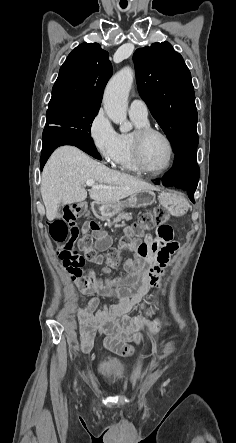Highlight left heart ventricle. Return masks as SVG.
I'll list each match as a JSON object with an SVG mask.
<instances>
[{"label":"left heart ventricle","mask_w":236,"mask_h":443,"mask_svg":"<svg viewBox=\"0 0 236 443\" xmlns=\"http://www.w3.org/2000/svg\"><path fill=\"white\" fill-rule=\"evenodd\" d=\"M143 159L152 170H160L169 160V148L166 141L157 134L150 135L143 145Z\"/></svg>","instance_id":"b2bd125f"}]
</instances>
